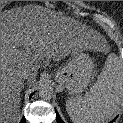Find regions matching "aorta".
I'll list each match as a JSON object with an SVG mask.
<instances>
[{
    "label": "aorta",
    "instance_id": "obj_1",
    "mask_svg": "<svg viewBox=\"0 0 123 123\" xmlns=\"http://www.w3.org/2000/svg\"><path fill=\"white\" fill-rule=\"evenodd\" d=\"M53 96V88L49 85H44L39 90V97L42 100H50Z\"/></svg>",
    "mask_w": 123,
    "mask_h": 123
}]
</instances>
